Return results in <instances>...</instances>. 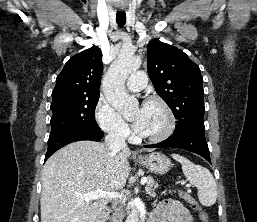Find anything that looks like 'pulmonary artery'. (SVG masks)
I'll return each mask as SVG.
<instances>
[{"instance_id": "e3ab8cb5", "label": "pulmonary artery", "mask_w": 257, "mask_h": 222, "mask_svg": "<svg viewBox=\"0 0 257 222\" xmlns=\"http://www.w3.org/2000/svg\"><path fill=\"white\" fill-rule=\"evenodd\" d=\"M147 84V77L145 72L138 71L133 73L127 80V87L131 91H140Z\"/></svg>"}]
</instances>
